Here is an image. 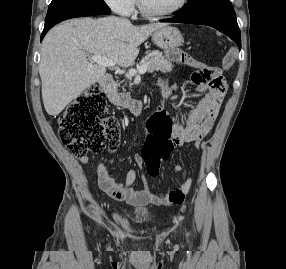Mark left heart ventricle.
<instances>
[{"label":"left heart ventricle","instance_id":"b2bd125f","mask_svg":"<svg viewBox=\"0 0 286 269\" xmlns=\"http://www.w3.org/2000/svg\"><path fill=\"white\" fill-rule=\"evenodd\" d=\"M179 0H143L145 7L151 12H163L173 8Z\"/></svg>","mask_w":286,"mask_h":269}]
</instances>
